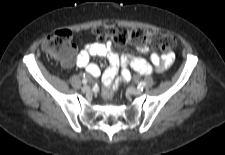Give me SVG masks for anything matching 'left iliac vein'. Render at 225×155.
<instances>
[{"instance_id": "obj_1", "label": "left iliac vein", "mask_w": 225, "mask_h": 155, "mask_svg": "<svg viewBox=\"0 0 225 155\" xmlns=\"http://www.w3.org/2000/svg\"><path fill=\"white\" fill-rule=\"evenodd\" d=\"M128 92H129L131 95H136V96L142 94L141 89H139V88H134V87H129V88H128Z\"/></svg>"}]
</instances>
